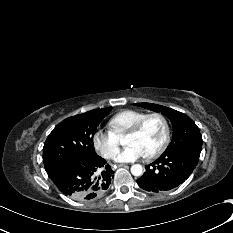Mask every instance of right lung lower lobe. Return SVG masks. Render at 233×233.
Returning <instances> with one entry per match:
<instances>
[{
  "label": "right lung lower lobe",
  "mask_w": 233,
  "mask_h": 233,
  "mask_svg": "<svg viewBox=\"0 0 233 233\" xmlns=\"http://www.w3.org/2000/svg\"><path fill=\"white\" fill-rule=\"evenodd\" d=\"M113 171L105 159L73 160L51 176L57 188L75 200H90L108 189Z\"/></svg>",
  "instance_id": "obj_1"
}]
</instances>
